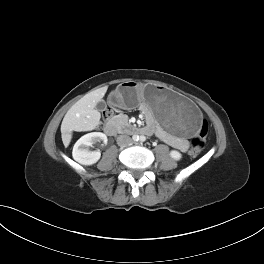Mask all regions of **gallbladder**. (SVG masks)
<instances>
[{"label": "gallbladder", "instance_id": "gallbladder-1", "mask_svg": "<svg viewBox=\"0 0 264 264\" xmlns=\"http://www.w3.org/2000/svg\"><path fill=\"white\" fill-rule=\"evenodd\" d=\"M95 108H96V110H98V111H103V110H105V108H106V103H105V101H103V100L98 101V103H96V105H95Z\"/></svg>", "mask_w": 264, "mask_h": 264}]
</instances>
